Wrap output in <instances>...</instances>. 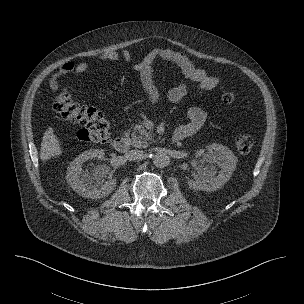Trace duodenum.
Masks as SVG:
<instances>
[{"instance_id": "410a0bca", "label": "duodenum", "mask_w": 304, "mask_h": 304, "mask_svg": "<svg viewBox=\"0 0 304 304\" xmlns=\"http://www.w3.org/2000/svg\"><path fill=\"white\" fill-rule=\"evenodd\" d=\"M183 139H184V135L176 130L173 135V141H180ZM113 147L118 152L121 153L126 152L129 147L127 138L125 136L117 137L113 142Z\"/></svg>"}]
</instances>
